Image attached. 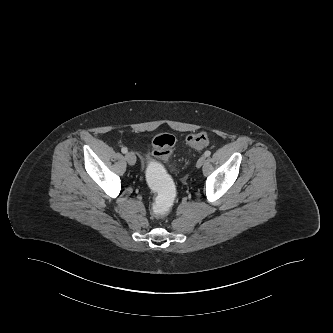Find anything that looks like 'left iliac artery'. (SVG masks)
I'll return each mask as SVG.
<instances>
[{
  "label": "left iliac artery",
  "instance_id": "44dca946",
  "mask_svg": "<svg viewBox=\"0 0 333 333\" xmlns=\"http://www.w3.org/2000/svg\"><path fill=\"white\" fill-rule=\"evenodd\" d=\"M205 157H209L211 155V152L209 150L205 151L204 153Z\"/></svg>",
  "mask_w": 333,
  "mask_h": 333
}]
</instances>
